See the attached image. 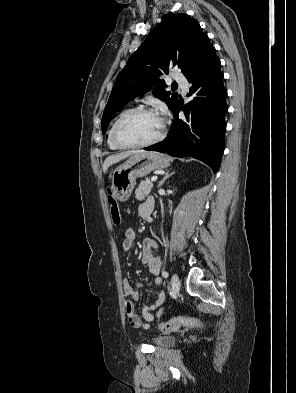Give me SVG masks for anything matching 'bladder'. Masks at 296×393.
I'll use <instances>...</instances> for the list:
<instances>
[{
	"instance_id": "obj_1",
	"label": "bladder",
	"mask_w": 296,
	"mask_h": 393,
	"mask_svg": "<svg viewBox=\"0 0 296 393\" xmlns=\"http://www.w3.org/2000/svg\"><path fill=\"white\" fill-rule=\"evenodd\" d=\"M152 343L157 347H171L176 343V337L174 335H160L152 339Z\"/></svg>"
}]
</instances>
